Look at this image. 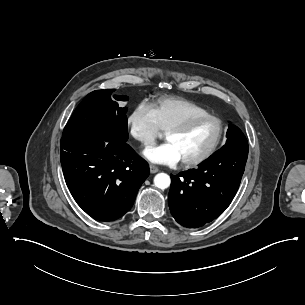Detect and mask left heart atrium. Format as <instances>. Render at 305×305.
<instances>
[{
    "label": "left heart atrium",
    "instance_id": "39dd6f15",
    "mask_svg": "<svg viewBox=\"0 0 305 305\" xmlns=\"http://www.w3.org/2000/svg\"><path fill=\"white\" fill-rule=\"evenodd\" d=\"M143 155L150 162L157 164H175L181 161L180 152L169 141L145 149Z\"/></svg>",
    "mask_w": 305,
    "mask_h": 305
}]
</instances>
